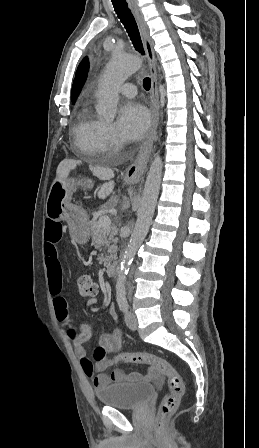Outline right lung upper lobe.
<instances>
[{"label":"right lung upper lobe","instance_id":"cb5924a9","mask_svg":"<svg viewBox=\"0 0 259 448\" xmlns=\"http://www.w3.org/2000/svg\"><path fill=\"white\" fill-rule=\"evenodd\" d=\"M89 69L88 59L84 58L82 62L79 64L78 69L76 71V76L72 86L71 92V100L74 102L86 80L87 72Z\"/></svg>","mask_w":259,"mask_h":448}]
</instances>
